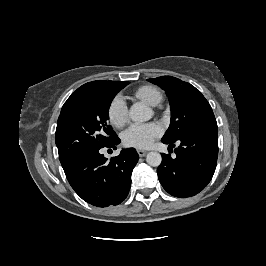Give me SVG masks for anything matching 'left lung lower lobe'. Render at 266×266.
Returning a JSON list of instances; mask_svg holds the SVG:
<instances>
[{"label": "left lung lower lobe", "instance_id": "1", "mask_svg": "<svg viewBox=\"0 0 266 266\" xmlns=\"http://www.w3.org/2000/svg\"><path fill=\"white\" fill-rule=\"evenodd\" d=\"M174 147V142L162 141ZM176 158L162 155L157 174L163 188L176 197H190L202 191L213 177L218 157V127L195 130L178 140Z\"/></svg>", "mask_w": 266, "mask_h": 266}]
</instances>
